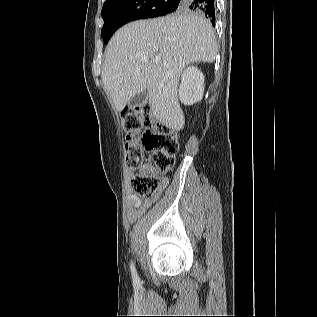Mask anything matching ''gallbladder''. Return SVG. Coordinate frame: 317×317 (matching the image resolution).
<instances>
[{
	"instance_id": "gallbladder-1",
	"label": "gallbladder",
	"mask_w": 317,
	"mask_h": 317,
	"mask_svg": "<svg viewBox=\"0 0 317 317\" xmlns=\"http://www.w3.org/2000/svg\"><path fill=\"white\" fill-rule=\"evenodd\" d=\"M148 100V92L143 91L139 94H136L130 101L129 106L137 107V106H144Z\"/></svg>"
}]
</instances>
